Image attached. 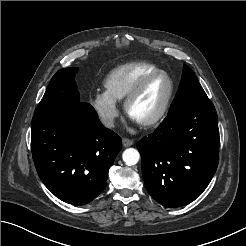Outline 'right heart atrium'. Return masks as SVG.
Returning a JSON list of instances; mask_svg holds the SVG:
<instances>
[{
	"label": "right heart atrium",
	"mask_w": 246,
	"mask_h": 246,
	"mask_svg": "<svg viewBox=\"0 0 246 246\" xmlns=\"http://www.w3.org/2000/svg\"><path fill=\"white\" fill-rule=\"evenodd\" d=\"M91 104L104 125L107 127L115 125L119 116V109L116 101L106 91H97Z\"/></svg>",
	"instance_id": "1"
}]
</instances>
